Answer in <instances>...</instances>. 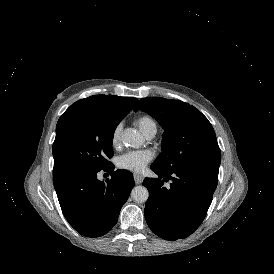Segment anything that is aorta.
<instances>
[{
	"mask_svg": "<svg viewBox=\"0 0 274 274\" xmlns=\"http://www.w3.org/2000/svg\"><path fill=\"white\" fill-rule=\"evenodd\" d=\"M122 140L126 145L134 148H138L142 144L141 135L131 128L123 132ZM131 197L135 202L143 203L148 200L149 193L144 186H136L131 191Z\"/></svg>",
	"mask_w": 274,
	"mask_h": 274,
	"instance_id": "762f6f07",
	"label": "aorta"
}]
</instances>
